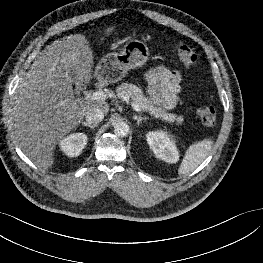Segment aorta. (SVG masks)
<instances>
[{
	"label": "aorta",
	"instance_id": "762f6f07",
	"mask_svg": "<svg viewBox=\"0 0 263 263\" xmlns=\"http://www.w3.org/2000/svg\"><path fill=\"white\" fill-rule=\"evenodd\" d=\"M114 133L119 137H125L129 133V126L123 121H117L113 124Z\"/></svg>",
	"mask_w": 263,
	"mask_h": 263
}]
</instances>
